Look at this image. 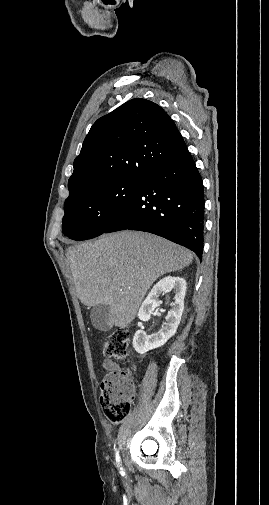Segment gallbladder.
Returning a JSON list of instances; mask_svg holds the SVG:
<instances>
[{
	"mask_svg": "<svg viewBox=\"0 0 269 505\" xmlns=\"http://www.w3.org/2000/svg\"><path fill=\"white\" fill-rule=\"evenodd\" d=\"M92 325L99 331H109L113 326L111 309L106 304H98L91 309Z\"/></svg>",
	"mask_w": 269,
	"mask_h": 505,
	"instance_id": "bac80fb5",
	"label": "gallbladder"
}]
</instances>
